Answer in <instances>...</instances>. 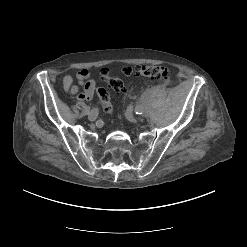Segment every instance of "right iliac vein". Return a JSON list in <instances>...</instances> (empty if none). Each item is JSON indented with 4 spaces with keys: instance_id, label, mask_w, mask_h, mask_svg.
Instances as JSON below:
<instances>
[{
    "instance_id": "63e3f726",
    "label": "right iliac vein",
    "mask_w": 247,
    "mask_h": 247,
    "mask_svg": "<svg viewBox=\"0 0 247 247\" xmlns=\"http://www.w3.org/2000/svg\"><path fill=\"white\" fill-rule=\"evenodd\" d=\"M98 113H99V111H98L97 108H95V107L92 108L91 111L88 112V119H89V121H94L97 118Z\"/></svg>"
}]
</instances>
